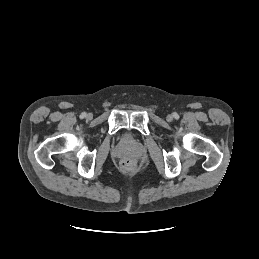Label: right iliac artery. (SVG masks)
<instances>
[{
  "instance_id": "1",
  "label": "right iliac artery",
  "mask_w": 259,
  "mask_h": 259,
  "mask_svg": "<svg viewBox=\"0 0 259 259\" xmlns=\"http://www.w3.org/2000/svg\"><path fill=\"white\" fill-rule=\"evenodd\" d=\"M86 115H87V114H86L85 112H83V113H81L80 118H85Z\"/></svg>"
}]
</instances>
